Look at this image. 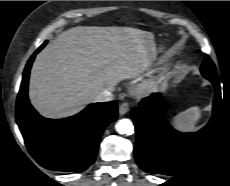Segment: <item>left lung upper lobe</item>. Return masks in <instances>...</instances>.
<instances>
[{
    "instance_id": "obj_1",
    "label": "left lung upper lobe",
    "mask_w": 230,
    "mask_h": 186,
    "mask_svg": "<svg viewBox=\"0 0 230 186\" xmlns=\"http://www.w3.org/2000/svg\"><path fill=\"white\" fill-rule=\"evenodd\" d=\"M201 73L209 80L218 78L215 66L209 56H206L204 62L202 63Z\"/></svg>"
}]
</instances>
